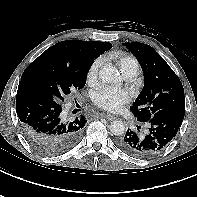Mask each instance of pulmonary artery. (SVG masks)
Masks as SVG:
<instances>
[{
  "mask_svg": "<svg viewBox=\"0 0 197 197\" xmlns=\"http://www.w3.org/2000/svg\"><path fill=\"white\" fill-rule=\"evenodd\" d=\"M137 75L135 74H126L124 75V77L127 79V80H132L134 77H136Z\"/></svg>",
  "mask_w": 197,
  "mask_h": 197,
  "instance_id": "obj_1",
  "label": "pulmonary artery"
}]
</instances>
